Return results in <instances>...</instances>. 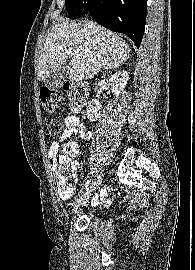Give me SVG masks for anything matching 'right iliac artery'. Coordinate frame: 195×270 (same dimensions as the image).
Listing matches in <instances>:
<instances>
[{"label":"right iliac artery","mask_w":195,"mask_h":270,"mask_svg":"<svg viewBox=\"0 0 195 270\" xmlns=\"http://www.w3.org/2000/svg\"><path fill=\"white\" fill-rule=\"evenodd\" d=\"M91 179L87 181V183L85 184V187L79 192L78 197L82 196L85 193V190H88V184L90 183Z\"/></svg>","instance_id":"right-iliac-artery-1"}]
</instances>
